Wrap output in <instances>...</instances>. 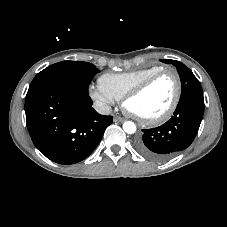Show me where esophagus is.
Instances as JSON below:
<instances>
[{"mask_svg": "<svg viewBox=\"0 0 227 227\" xmlns=\"http://www.w3.org/2000/svg\"><path fill=\"white\" fill-rule=\"evenodd\" d=\"M114 121H115V122H124L125 119H124L123 117H120V116H115V117H114Z\"/></svg>", "mask_w": 227, "mask_h": 227, "instance_id": "esophagus-1", "label": "esophagus"}]
</instances>
